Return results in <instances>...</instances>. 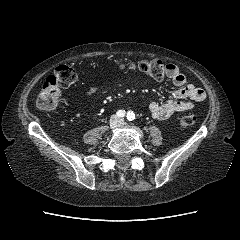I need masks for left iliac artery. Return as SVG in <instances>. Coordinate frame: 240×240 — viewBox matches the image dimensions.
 <instances>
[{"mask_svg": "<svg viewBox=\"0 0 240 240\" xmlns=\"http://www.w3.org/2000/svg\"><path fill=\"white\" fill-rule=\"evenodd\" d=\"M127 119H128L129 121H133V120L135 119V114H134L133 111H129V112L127 113Z\"/></svg>", "mask_w": 240, "mask_h": 240, "instance_id": "1", "label": "left iliac artery"}]
</instances>
